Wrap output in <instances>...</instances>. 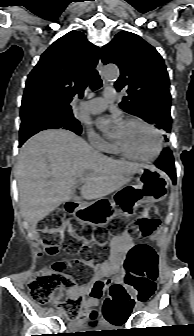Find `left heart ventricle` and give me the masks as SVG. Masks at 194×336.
<instances>
[{
	"instance_id": "obj_1",
	"label": "left heart ventricle",
	"mask_w": 194,
	"mask_h": 336,
	"mask_svg": "<svg viewBox=\"0 0 194 336\" xmlns=\"http://www.w3.org/2000/svg\"><path fill=\"white\" fill-rule=\"evenodd\" d=\"M115 141L140 156L152 155L156 147L153 133L138 123L124 124L122 130L115 135Z\"/></svg>"
}]
</instances>
